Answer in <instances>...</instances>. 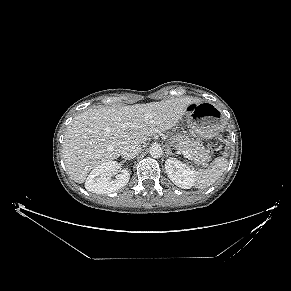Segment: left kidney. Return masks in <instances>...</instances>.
<instances>
[{
  "label": "left kidney",
  "instance_id": "obj_1",
  "mask_svg": "<svg viewBox=\"0 0 291 291\" xmlns=\"http://www.w3.org/2000/svg\"><path fill=\"white\" fill-rule=\"evenodd\" d=\"M165 170L170 180L178 187L190 189L194 185V170L176 158L165 161Z\"/></svg>",
  "mask_w": 291,
  "mask_h": 291
}]
</instances>
